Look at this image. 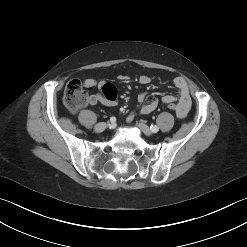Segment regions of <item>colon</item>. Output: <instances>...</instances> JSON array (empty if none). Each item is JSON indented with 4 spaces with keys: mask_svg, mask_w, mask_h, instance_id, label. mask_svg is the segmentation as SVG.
<instances>
[{
    "mask_svg": "<svg viewBox=\"0 0 247 247\" xmlns=\"http://www.w3.org/2000/svg\"><path fill=\"white\" fill-rule=\"evenodd\" d=\"M63 102L65 107L71 112H76L85 105L86 92L79 80H72L66 85ZM167 107L174 113H177L178 107L176 103H167Z\"/></svg>",
    "mask_w": 247,
    "mask_h": 247,
    "instance_id": "1",
    "label": "colon"
}]
</instances>
